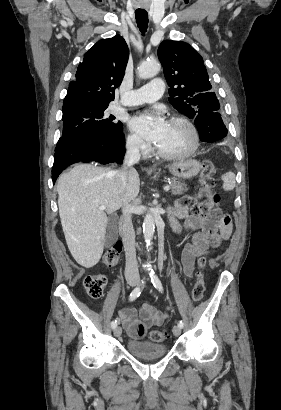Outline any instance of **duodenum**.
I'll return each mask as SVG.
<instances>
[{"instance_id":"duodenum-1","label":"duodenum","mask_w":281,"mask_h":410,"mask_svg":"<svg viewBox=\"0 0 281 410\" xmlns=\"http://www.w3.org/2000/svg\"><path fill=\"white\" fill-rule=\"evenodd\" d=\"M123 220H124V218H123V217H121V218H120V222H122Z\"/></svg>"}]
</instances>
